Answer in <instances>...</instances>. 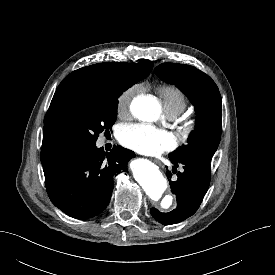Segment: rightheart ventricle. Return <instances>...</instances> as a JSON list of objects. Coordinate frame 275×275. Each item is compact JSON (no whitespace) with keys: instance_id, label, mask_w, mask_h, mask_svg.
<instances>
[{"instance_id":"right-heart-ventricle-1","label":"right heart ventricle","mask_w":275,"mask_h":275,"mask_svg":"<svg viewBox=\"0 0 275 275\" xmlns=\"http://www.w3.org/2000/svg\"><path fill=\"white\" fill-rule=\"evenodd\" d=\"M167 114L178 115L187 107V99L184 92L175 85H162L157 89Z\"/></svg>"}]
</instances>
